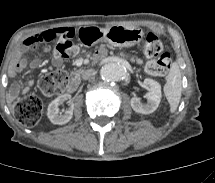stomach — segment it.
Masks as SVG:
<instances>
[{"label":"stomach","mask_w":215,"mask_h":183,"mask_svg":"<svg viewBox=\"0 0 215 183\" xmlns=\"http://www.w3.org/2000/svg\"><path fill=\"white\" fill-rule=\"evenodd\" d=\"M96 41H105L114 47H129L139 43L144 35L139 26L113 25L107 28H99Z\"/></svg>","instance_id":"0dacf381"}]
</instances>
